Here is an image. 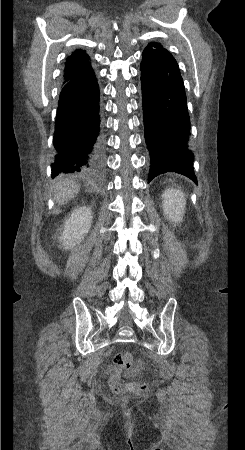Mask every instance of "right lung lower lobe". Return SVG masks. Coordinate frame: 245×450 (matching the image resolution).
<instances>
[{
	"label": "right lung lower lobe",
	"instance_id": "obj_1",
	"mask_svg": "<svg viewBox=\"0 0 245 450\" xmlns=\"http://www.w3.org/2000/svg\"><path fill=\"white\" fill-rule=\"evenodd\" d=\"M54 147L52 177L61 172L97 175L104 169L99 87L91 67L63 85Z\"/></svg>",
	"mask_w": 245,
	"mask_h": 450
}]
</instances>
